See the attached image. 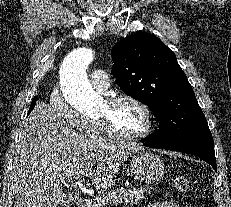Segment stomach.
<instances>
[{
  "label": "stomach",
  "mask_w": 231,
  "mask_h": 207,
  "mask_svg": "<svg viewBox=\"0 0 231 207\" xmlns=\"http://www.w3.org/2000/svg\"><path fill=\"white\" fill-rule=\"evenodd\" d=\"M164 170L163 161L150 151H138L131 155V173L140 182H157L164 175Z\"/></svg>",
  "instance_id": "1"
}]
</instances>
